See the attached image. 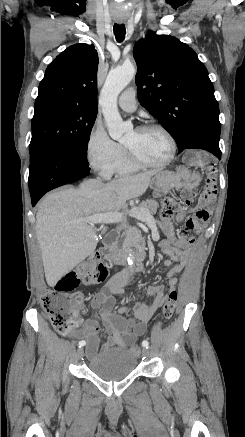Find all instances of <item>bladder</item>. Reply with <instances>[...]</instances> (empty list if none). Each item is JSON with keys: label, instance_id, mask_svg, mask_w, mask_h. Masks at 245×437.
<instances>
[{"label": "bladder", "instance_id": "31cf9c89", "mask_svg": "<svg viewBox=\"0 0 245 437\" xmlns=\"http://www.w3.org/2000/svg\"><path fill=\"white\" fill-rule=\"evenodd\" d=\"M87 366L98 377L114 381L128 376L135 370L137 357L126 348H116L101 352Z\"/></svg>", "mask_w": 245, "mask_h": 437}]
</instances>
